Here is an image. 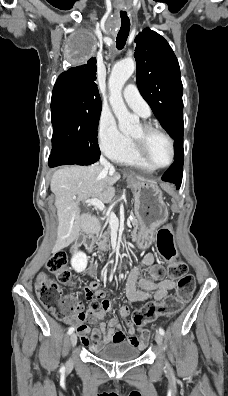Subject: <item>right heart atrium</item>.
Masks as SVG:
<instances>
[{"instance_id":"1","label":"right heart atrium","mask_w":228,"mask_h":396,"mask_svg":"<svg viewBox=\"0 0 228 396\" xmlns=\"http://www.w3.org/2000/svg\"><path fill=\"white\" fill-rule=\"evenodd\" d=\"M97 140L101 150L115 161L131 146L129 137L119 131L114 119L106 111H102L98 119Z\"/></svg>"}]
</instances>
